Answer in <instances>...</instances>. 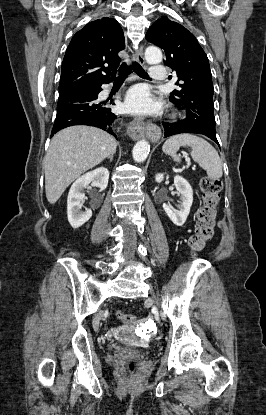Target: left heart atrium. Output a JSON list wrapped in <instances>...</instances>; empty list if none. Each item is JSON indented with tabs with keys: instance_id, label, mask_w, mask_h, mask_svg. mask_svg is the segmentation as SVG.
I'll list each match as a JSON object with an SVG mask.
<instances>
[{
	"instance_id": "1",
	"label": "left heart atrium",
	"mask_w": 266,
	"mask_h": 415,
	"mask_svg": "<svg viewBox=\"0 0 266 415\" xmlns=\"http://www.w3.org/2000/svg\"><path fill=\"white\" fill-rule=\"evenodd\" d=\"M159 104L145 85L133 87L127 94L125 109L132 113L149 114L155 112Z\"/></svg>"
}]
</instances>
